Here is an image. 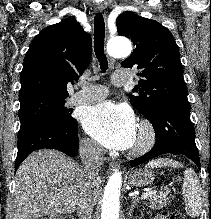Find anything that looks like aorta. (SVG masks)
Instances as JSON below:
<instances>
[{
  "mask_svg": "<svg viewBox=\"0 0 211 219\" xmlns=\"http://www.w3.org/2000/svg\"><path fill=\"white\" fill-rule=\"evenodd\" d=\"M113 57H127L131 54L132 45L129 40L117 38L107 47ZM122 185V173L115 171L109 177L102 201L101 219H119V197Z\"/></svg>",
  "mask_w": 211,
  "mask_h": 219,
  "instance_id": "762f6f07",
  "label": "aorta"
}]
</instances>
